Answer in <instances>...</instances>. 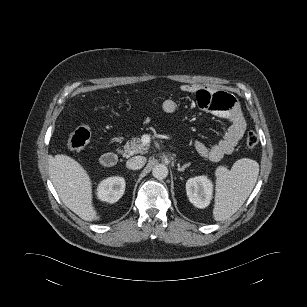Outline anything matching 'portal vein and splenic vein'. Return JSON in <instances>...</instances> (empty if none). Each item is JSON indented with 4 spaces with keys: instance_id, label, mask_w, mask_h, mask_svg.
I'll return each instance as SVG.
<instances>
[{
    "instance_id": "1",
    "label": "portal vein and splenic vein",
    "mask_w": 307,
    "mask_h": 307,
    "mask_svg": "<svg viewBox=\"0 0 307 307\" xmlns=\"http://www.w3.org/2000/svg\"><path fill=\"white\" fill-rule=\"evenodd\" d=\"M149 141H150V138H149L148 136H145V137L143 138V143H144V144L149 143Z\"/></svg>"
}]
</instances>
